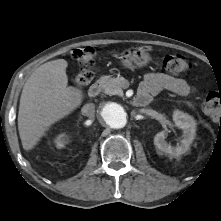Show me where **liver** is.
Wrapping results in <instances>:
<instances>
[{
	"mask_svg": "<svg viewBox=\"0 0 221 221\" xmlns=\"http://www.w3.org/2000/svg\"><path fill=\"white\" fill-rule=\"evenodd\" d=\"M64 59L39 66L24 84L18 130L24 150L34 148L49 127L72 113L83 101L81 90L68 86Z\"/></svg>",
	"mask_w": 221,
	"mask_h": 221,
	"instance_id": "6515ba94",
	"label": "liver"
}]
</instances>
